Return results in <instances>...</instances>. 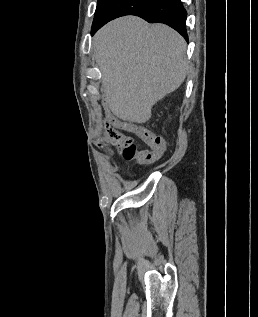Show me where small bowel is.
<instances>
[{"mask_svg":"<svg viewBox=\"0 0 258 317\" xmlns=\"http://www.w3.org/2000/svg\"><path fill=\"white\" fill-rule=\"evenodd\" d=\"M114 125L118 128L136 134L146 145L150 147L151 150L159 151L161 156L167 150V143L162 137L156 135L151 130L138 123L118 119Z\"/></svg>","mask_w":258,"mask_h":317,"instance_id":"small-bowel-1","label":"small bowel"}]
</instances>
